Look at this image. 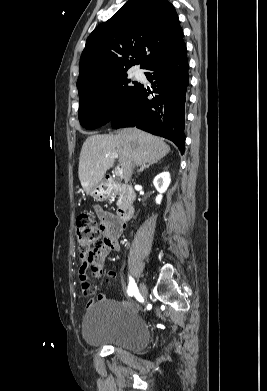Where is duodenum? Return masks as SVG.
I'll list each match as a JSON object with an SVG mask.
<instances>
[{
    "label": "duodenum",
    "mask_w": 267,
    "mask_h": 391,
    "mask_svg": "<svg viewBox=\"0 0 267 391\" xmlns=\"http://www.w3.org/2000/svg\"><path fill=\"white\" fill-rule=\"evenodd\" d=\"M107 181L111 188L123 195V202L117 212V218L119 222H126L134 214L135 194L130 187L116 183L112 177H108Z\"/></svg>",
    "instance_id": "1"
}]
</instances>
